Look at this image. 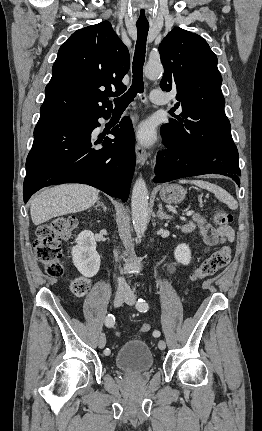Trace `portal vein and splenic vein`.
Instances as JSON below:
<instances>
[{
	"mask_svg": "<svg viewBox=\"0 0 262 431\" xmlns=\"http://www.w3.org/2000/svg\"><path fill=\"white\" fill-rule=\"evenodd\" d=\"M193 213H194V212H193L192 210H189V211H187V212H186V215H187V216H191Z\"/></svg>",
	"mask_w": 262,
	"mask_h": 431,
	"instance_id": "obj_1",
	"label": "portal vein and splenic vein"
}]
</instances>
